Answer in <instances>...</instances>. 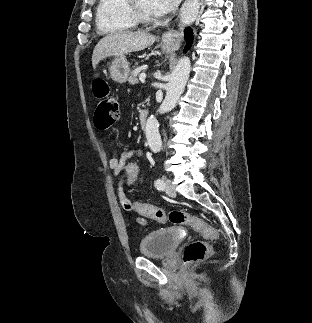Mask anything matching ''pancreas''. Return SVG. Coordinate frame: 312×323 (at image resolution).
<instances>
[{"mask_svg": "<svg viewBox=\"0 0 312 323\" xmlns=\"http://www.w3.org/2000/svg\"><path fill=\"white\" fill-rule=\"evenodd\" d=\"M137 76H139V74H136V72H131V76L130 78H127V82H129V84H138Z\"/></svg>", "mask_w": 312, "mask_h": 323, "instance_id": "pancreas-1", "label": "pancreas"}]
</instances>
